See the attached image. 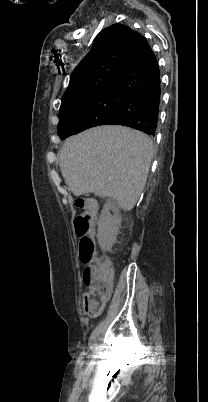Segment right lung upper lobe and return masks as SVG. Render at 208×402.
<instances>
[{
	"label": "right lung upper lobe",
	"instance_id": "obj_1",
	"mask_svg": "<svg viewBox=\"0 0 208 402\" xmlns=\"http://www.w3.org/2000/svg\"><path fill=\"white\" fill-rule=\"evenodd\" d=\"M145 41L138 32L119 23L101 31L92 49L72 72L63 96L113 81Z\"/></svg>",
	"mask_w": 208,
	"mask_h": 402
}]
</instances>
